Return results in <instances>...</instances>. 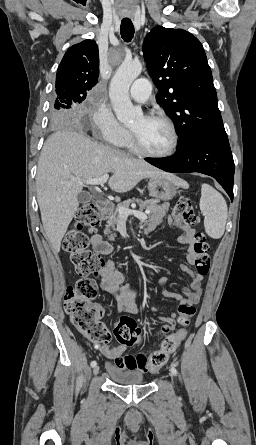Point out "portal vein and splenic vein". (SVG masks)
<instances>
[{"label":"portal vein and splenic vein","mask_w":256,"mask_h":445,"mask_svg":"<svg viewBox=\"0 0 256 445\" xmlns=\"http://www.w3.org/2000/svg\"><path fill=\"white\" fill-rule=\"evenodd\" d=\"M108 178H109V175L104 174L100 178H91V179L73 178L72 180L78 181V182H83L88 185H103L104 183L107 182ZM118 212L121 217H128L129 215H134L136 218H138L142 221L147 219V214L149 213L148 210L145 213H143L140 211L128 209L126 207H120L118 209Z\"/></svg>","instance_id":"18ae733b"}]
</instances>
